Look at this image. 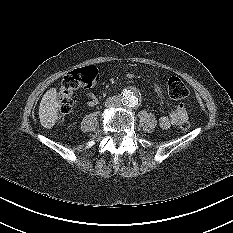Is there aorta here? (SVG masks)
Masks as SVG:
<instances>
[{
    "mask_svg": "<svg viewBox=\"0 0 233 233\" xmlns=\"http://www.w3.org/2000/svg\"><path fill=\"white\" fill-rule=\"evenodd\" d=\"M124 102L129 107H136L138 105V91L131 89V90H125L122 95Z\"/></svg>",
    "mask_w": 233,
    "mask_h": 233,
    "instance_id": "aorta-1",
    "label": "aorta"
}]
</instances>
